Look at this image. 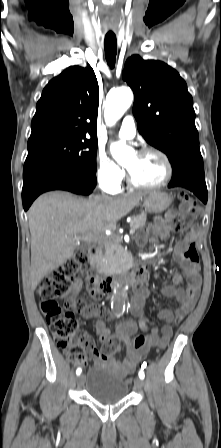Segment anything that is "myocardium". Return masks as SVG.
I'll use <instances>...</instances> for the list:
<instances>
[{
    "label": "myocardium",
    "mask_w": 221,
    "mask_h": 448,
    "mask_svg": "<svg viewBox=\"0 0 221 448\" xmlns=\"http://www.w3.org/2000/svg\"><path fill=\"white\" fill-rule=\"evenodd\" d=\"M137 154L139 156H143V155H147V154L158 155L163 160V162L166 166V176L158 184L145 185V184L139 183L132 176V174L129 172V170H127V180L131 187L136 188V189H158V188H162V187L166 186L171 181L173 174H174V166H173L171 159L164 151H162L158 148H155V147H144L141 150H139Z\"/></svg>",
    "instance_id": "obj_1"
}]
</instances>
